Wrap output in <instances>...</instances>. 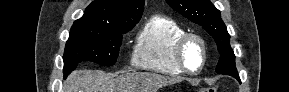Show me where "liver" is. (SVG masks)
Returning a JSON list of instances; mask_svg holds the SVG:
<instances>
[{"mask_svg": "<svg viewBox=\"0 0 289 92\" xmlns=\"http://www.w3.org/2000/svg\"><path fill=\"white\" fill-rule=\"evenodd\" d=\"M180 82L156 73H126L120 76L103 71L77 70L65 81V92H156Z\"/></svg>", "mask_w": 289, "mask_h": 92, "instance_id": "1", "label": "liver"}]
</instances>
